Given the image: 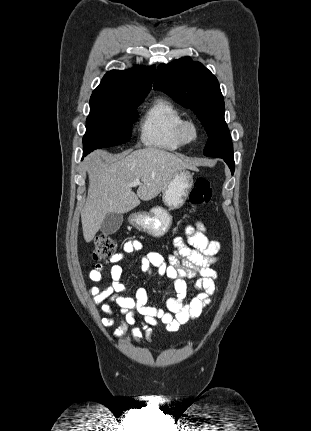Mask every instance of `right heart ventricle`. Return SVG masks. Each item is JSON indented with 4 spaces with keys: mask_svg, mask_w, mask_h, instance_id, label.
<instances>
[{
    "mask_svg": "<svg viewBox=\"0 0 311 431\" xmlns=\"http://www.w3.org/2000/svg\"><path fill=\"white\" fill-rule=\"evenodd\" d=\"M181 108L168 98L155 100L142 114L139 139L150 148L177 151L185 144L178 135L180 121L185 118Z\"/></svg>",
    "mask_w": 311,
    "mask_h": 431,
    "instance_id": "right-heart-ventricle-1",
    "label": "right heart ventricle"
}]
</instances>
